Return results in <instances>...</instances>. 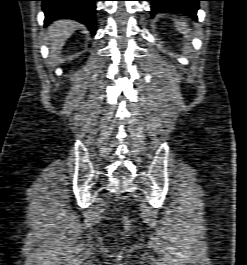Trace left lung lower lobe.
<instances>
[{"mask_svg": "<svg viewBox=\"0 0 247 265\" xmlns=\"http://www.w3.org/2000/svg\"><path fill=\"white\" fill-rule=\"evenodd\" d=\"M151 1V12L156 14L158 12H178L184 13L196 19L197 9L199 8V1L205 0H146Z\"/></svg>", "mask_w": 247, "mask_h": 265, "instance_id": "obj_1", "label": "left lung lower lobe"}]
</instances>
